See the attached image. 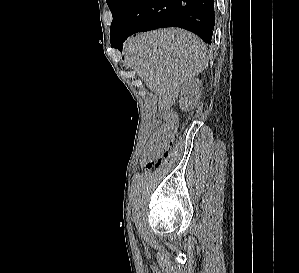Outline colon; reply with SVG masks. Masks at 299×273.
I'll use <instances>...</instances> for the list:
<instances>
[{"label": "colon", "mask_w": 299, "mask_h": 273, "mask_svg": "<svg viewBox=\"0 0 299 273\" xmlns=\"http://www.w3.org/2000/svg\"><path fill=\"white\" fill-rule=\"evenodd\" d=\"M177 131V120L173 117L155 125L144 152V164L157 166L164 160L171 149Z\"/></svg>", "instance_id": "colon-1"}]
</instances>
